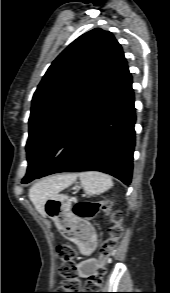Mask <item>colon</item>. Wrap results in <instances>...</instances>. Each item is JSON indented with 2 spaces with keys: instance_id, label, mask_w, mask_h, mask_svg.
<instances>
[{
  "instance_id": "obj_1",
  "label": "colon",
  "mask_w": 170,
  "mask_h": 293,
  "mask_svg": "<svg viewBox=\"0 0 170 293\" xmlns=\"http://www.w3.org/2000/svg\"><path fill=\"white\" fill-rule=\"evenodd\" d=\"M99 210L106 213H112V203L110 202H95V201H81L73 205L72 213L79 220L67 218L58 221V228L65 236L82 235L84 231L85 222L91 221L97 215ZM115 223L109 229L108 237L101 244L98 249L99 265L89 277L86 285L81 286V283L76 275V264L74 261L75 252L70 245H61L57 248L58 258L61 261L59 273L63 278V282L52 293H93L94 288L101 285L105 275V263L111 256L114 248L117 246L119 240L124 235V229L120 218L114 216ZM83 291V292H79Z\"/></svg>"
}]
</instances>
